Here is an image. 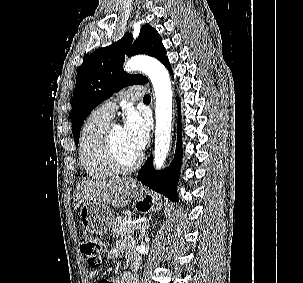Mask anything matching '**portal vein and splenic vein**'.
Segmentation results:
<instances>
[{
	"mask_svg": "<svg viewBox=\"0 0 303 283\" xmlns=\"http://www.w3.org/2000/svg\"><path fill=\"white\" fill-rule=\"evenodd\" d=\"M132 223H133V225H134V226L132 227L134 230H137V229H139V228L141 227V222H139V221H136V222L133 221Z\"/></svg>",
	"mask_w": 303,
	"mask_h": 283,
	"instance_id": "obj_1",
	"label": "portal vein and splenic vein"
}]
</instances>
